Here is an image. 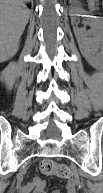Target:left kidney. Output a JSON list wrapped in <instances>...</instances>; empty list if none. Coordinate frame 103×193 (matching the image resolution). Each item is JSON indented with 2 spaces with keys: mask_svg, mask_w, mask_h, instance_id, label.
Listing matches in <instances>:
<instances>
[{
  "mask_svg": "<svg viewBox=\"0 0 103 193\" xmlns=\"http://www.w3.org/2000/svg\"><path fill=\"white\" fill-rule=\"evenodd\" d=\"M85 10L75 7L70 10L72 23H75L77 16H83ZM90 22L91 30L86 31L78 27L74 28V33L78 42L81 54L86 61L94 68L101 69L103 66V28L102 22L97 17H92Z\"/></svg>",
  "mask_w": 103,
  "mask_h": 193,
  "instance_id": "left-kidney-1",
  "label": "left kidney"
}]
</instances>
